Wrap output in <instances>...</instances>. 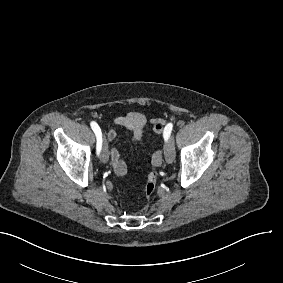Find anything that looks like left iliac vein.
Instances as JSON below:
<instances>
[{
    "instance_id": "left-iliac-vein-1",
    "label": "left iliac vein",
    "mask_w": 283,
    "mask_h": 283,
    "mask_svg": "<svg viewBox=\"0 0 283 283\" xmlns=\"http://www.w3.org/2000/svg\"><path fill=\"white\" fill-rule=\"evenodd\" d=\"M164 155H165V160L167 163H172L175 161V148H174V143L173 141L170 142H165L164 143Z\"/></svg>"
}]
</instances>
